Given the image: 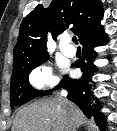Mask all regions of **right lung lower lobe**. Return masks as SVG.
Listing matches in <instances>:
<instances>
[{
  "label": "right lung lower lobe",
  "instance_id": "obj_1",
  "mask_svg": "<svg viewBox=\"0 0 117 131\" xmlns=\"http://www.w3.org/2000/svg\"><path fill=\"white\" fill-rule=\"evenodd\" d=\"M107 39V35L104 33V30L101 29L96 34L80 42L83 46V55L73 66L79 67L83 75L80 79H72L68 76H64L61 82V87L68 91L67 98L77 104L88 118L93 116L96 121H99L98 124L102 127H105V119L95 108L96 105L94 104V96L92 94L94 88L92 76L97 71L96 66L93 64L97 55L94 49L98 45L104 44Z\"/></svg>",
  "mask_w": 117,
  "mask_h": 131
}]
</instances>
